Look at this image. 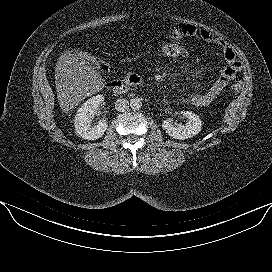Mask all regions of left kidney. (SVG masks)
<instances>
[{
	"label": "left kidney",
	"mask_w": 272,
	"mask_h": 272,
	"mask_svg": "<svg viewBox=\"0 0 272 272\" xmlns=\"http://www.w3.org/2000/svg\"><path fill=\"white\" fill-rule=\"evenodd\" d=\"M183 116L188 120L185 125H175L171 118H167L162 123L163 130L174 139L192 138L201 131L202 123L199 116L190 111H184Z\"/></svg>",
	"instance_id": "obj_1"
}]
</instances>
